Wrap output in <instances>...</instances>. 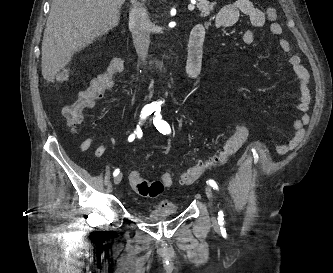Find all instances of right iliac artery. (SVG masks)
<instances>
[{
    "label": "right iliac artery",
    "mask_w": 333,
    "mask_h": 273,
    "mask_svg": "<svg viewBox=\"0 0 333 273\" xmlns=\"http://www.w3.org/2000/svg\"><path fill=\"white\" fill-rule=\"evenodd\" d=\"M156 110V107L152 106V105H146L142 111H141V120H145L149 115H151L154 111ZM140 124V122H139ZM142 136V130L140 128L139 125H137L136 130L134 131V133H132L129 137H128V141L132 142L135 139V136ZM119 169H116L113 173L114 176H117L119 174Z\"/></svg>",
    "instance_id": "82829eb1"
}]
</instances>
